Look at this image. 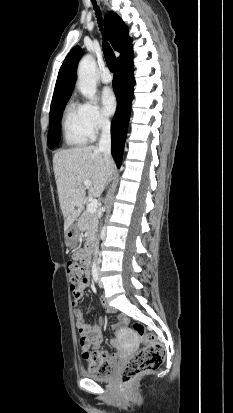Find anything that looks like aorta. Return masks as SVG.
<instances>
[{
  "instance_id": "obj_1",
  "label": "aorta",
  "mask_w": 233,
  "mask_h": 413,
  "mask_svg": "<svg viewBox=\"0 0 233 413\" xmlns=\"http://www.w3.org/2000/svg\"><path fill=\"white\" fill-rule=\"evenodd\" d=\"M78 82L77 86L81 93L91 102L94 101L97 84H96V62L92 55L84 56L78 65ZM99 241L95 244L94 256L98 253Z\"/></svg>"
}]
</instances>
